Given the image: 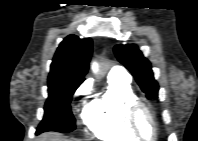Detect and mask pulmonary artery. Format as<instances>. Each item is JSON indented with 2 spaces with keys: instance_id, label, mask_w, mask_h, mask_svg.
<instances>
[{
  "instance_id": "obj_1",
  "label": "pulmonary artery",
  "mask_w": 198,
  "mask_h": 141,
  "mask_svg": "<svg viewBox=\"0 0 198 141\" xmlns=\"http://www.w3.org/2000/svg\"><path fill=\"white\" fill-rule=\"evenodd\" d=\"M108 79L129 82L130 76L120 67H114L108 74Z\"/></svg>"
}]
</instances>
